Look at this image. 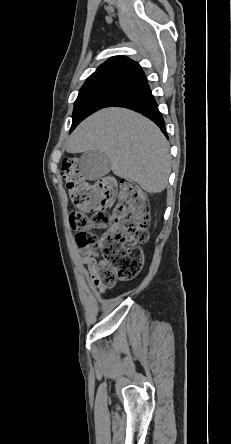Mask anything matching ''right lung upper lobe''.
Listing matches in <instances>:
<instances>
[{
    "label": "right lung upper lobe",
    "mask_w": 231,
    "mask_h": 444,
    "mask_svg": "<svg viewBox=\"0 0 231 444\" xmlns=\"http://www.w3.org/2000/svg\"><path fill=\"white\" fill-rule=\"evenodd\" d=\"M146 84L145 74L137 62L125 56H116L99 66L81 89L115 85L130 92Z\"/></svg>",
    "instance_id": "1"
}]
</instances>
